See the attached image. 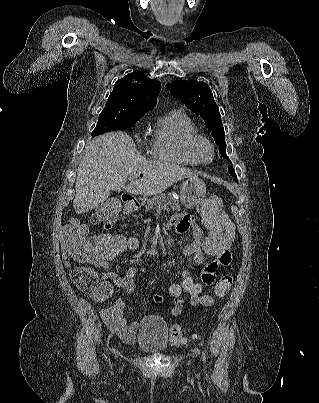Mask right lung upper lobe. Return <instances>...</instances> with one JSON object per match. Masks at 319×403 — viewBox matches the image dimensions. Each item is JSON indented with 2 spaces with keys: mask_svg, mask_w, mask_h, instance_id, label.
Segmentation results:
<instances>
[{
  "mask_svg": "<svg viewBox=\"0 0 319 403\" xmlns=\"http://www.w3.org/2000/svg\"><path fill=\"white\" fill-rule=\"evenodd\" d=\"M159 91L160 82L134 72L116 81L106 105L123 106L144 114L155 106Z\"/></svg>",
  "mask_w": 319,
  "mask_h": 403,
  "instance_id": "obj_1",
  "label": "right lung upper lobe"
}]
</instances>
